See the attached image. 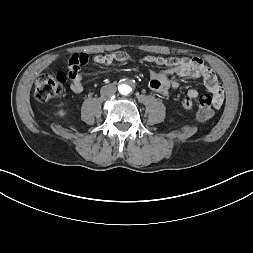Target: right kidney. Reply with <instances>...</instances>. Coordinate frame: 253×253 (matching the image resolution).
Instances as JSON below:
<instances>
[{
  "label": "right kidney",
  "mask_w": 253,
  "mask_h": 253,
  "mask_svg": "<svg viewBox=\"0 0 253 253\" xmlns=\"http://www.w3.org/2000/svg\"><path fill=\"white\" fill-rule=\"evenodd\" d=\"M59 114H60V115H63L64 113H63V111H60Z\"/></svg>",
  "instance_id": "obj_1"
}]
</instances>
